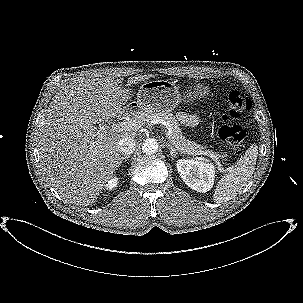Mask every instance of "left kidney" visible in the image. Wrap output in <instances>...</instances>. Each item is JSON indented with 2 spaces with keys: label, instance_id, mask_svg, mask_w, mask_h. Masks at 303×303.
<instances>
[{
  "label": "left kidney",
  "instance_id": "obj_1",
  "mask_svg": "<svg viewBox=\"0 0 303 303\" xmlns=\"http://www.w3.org/2000/svg\"><path fill=\"white\" fill-rule=\"evenodd\" d=\"M177 170L184 183L197 192H208L214 183V168L210 164L195 160L177 161Z\"/></svg>",
  "mask_w": 303,
  "mask_h": 303
}]
</instances>
